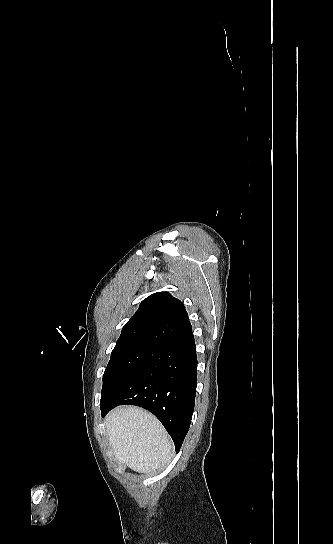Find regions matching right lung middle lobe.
Returning <instances> with one entry per match:
<instances>
[{"label":"right lung middle lobe","instance_id":"dd1d6c3e","mask_svg":"<svg viewBox=\"0 0 333 544\" xmlns=\"http://www.w3.org/2000/svg\"><path fill=\"white\" fill-rule=\"evenodd\" d=\"M151 346H132L114 349L103 375L100 407L129 380L139 365L148 357Z\"/></svg>","mask_w":333,"mask_h":544}]
</instances>
